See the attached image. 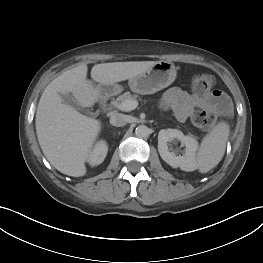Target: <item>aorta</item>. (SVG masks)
I'll return each instance as SVG.
<instances>
[{"label":"aorta","mask_w":263,"mask_h":263,"mask_svg":"<svg viewBox=\"0 0 263 263\" xmlns=\"http://www.w3.org/2000/svg\"><path fill=\"white\" fill-rule=\"evenodd\" d=\"M135 134L139 138H146L150 134V129L145 125H139L135 129Z\"/></svg>","instance_id":"aorta-1"}]
</instances>
